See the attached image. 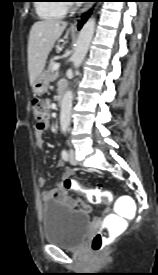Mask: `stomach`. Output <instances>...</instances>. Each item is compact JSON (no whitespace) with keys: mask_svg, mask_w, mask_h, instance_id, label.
<instances>
[{"mask_svg":"<svg viewBox=\"0 0 158 275\" xmlns=\"http://www.w3.org/2000/svg\"><path fill=\"white\" fill-rule=\"evenodd\" d=\"M49 85V78L45 71H42L32 84L33 92L36 95H42L47 91Z\"/></svg>","mask_w":158,"mask_h":275,"instance_id":"obj_1","label":"stomach"}]
</instances>
